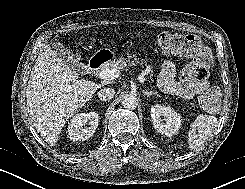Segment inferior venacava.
Segmentation results:
<instances>
[{"mask_svg":"<svg viewBox=\"0 0 245 189\" xmlns=\"http://www.w3.org/2000/svg\"><path fill=\"white\" fill-rule=\"evenodd\" d=\"M115 90L112 88H103L98 92V97L102 101L110 100L114 97Z\"/></svg>","mask_w":245,"mask_h":189,"instance_id":"1","label":"inferior vena cava"}]
</instances>
